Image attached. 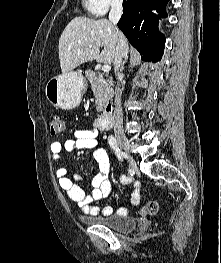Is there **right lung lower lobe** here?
I'll list each match as a JSON object with an SVG mask.
<instances>
[{
    "label": "right lung lower lobe",
    "instance_id": "1",
    "mask_svg": "<svg viewBox=\"0 0 221 263\" xmlns=\"http://www.w3.org/2000/svg\"><path fill=\"white\" fill-rule=\"evenodd\" d=\"M169 0H123V14L118 27L135 47L142 60L160 61L165 36L158 31L160 17H165ZM152 9L159 15L152 13Z\"/></svg>",
    "mask_w": 221,
    "mask_h": 263
}]
</instances>
